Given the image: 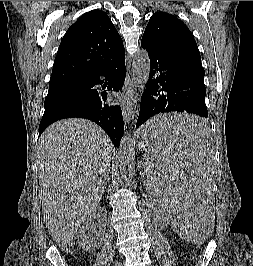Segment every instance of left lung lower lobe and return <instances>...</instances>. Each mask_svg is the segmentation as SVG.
Returning <instances> with one entry per match:
<instances>
[{
    "label": "left lung lower lobe",
    "mask_w": 253,
    "mask_h": 266,
    "mask_svg": "<svg viewBox=\"0 0 253 266\" xmlns=\"http://www.w3.org/2000/svg\"><path fill=\"white\" fill-rule=\"evenodd\" d=\"M141 47L150 58V75L141 98L136 128L148 123L152 116L165 112L185 111L207 117L205 71L200 54L185 47L159 45L144 39ZM206 129V121L200 119L184 124H159L148 130V136L157 139L181 135L195 139Z\"/></svg>",
    "instance_id": "0a47b994"
}]
</instances>
